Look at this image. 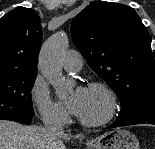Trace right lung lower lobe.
Segmentation results:
<instances>
[{
	"label": "right lung lower lobe",
	"mask_w": 155,
	"mask_h": 149,
	"mask_svg": "<svg viewBox=\"0 0 155 149\" xmlns=\"http://www.w3.org/2000/svg\"><path fill=\"white\" fill-rule=\"evenodd\" d=\"M30 123H31V120H30V122H29V123H26V122H25V123H23V124H27V125H28V124H30Z\"/></svg>",
	"instance_id": "right-lung-lower-lobe-1"
}]
</instances>
